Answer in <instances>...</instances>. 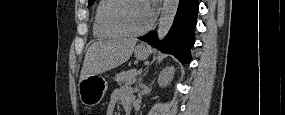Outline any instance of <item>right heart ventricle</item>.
<instances>
[{
  "instance_id": "obj_1",
  "label": "right heart ventricle",
  "mask_w": 285,
  "mask_h": 115,
  "mask_svg": "<svg viewBox=\"0 0 285 115\" xmlns=\"http://www.w3.org/2000/svg\"><path fill=\"white\" fill-rule=\"evenodd\" d=\"M114 0H100L94 10L93 15V34L101 39H117L123 35L112 27L108 26L104 21L105 10L110 6Z\"/></svg>"
}]
</instances>
